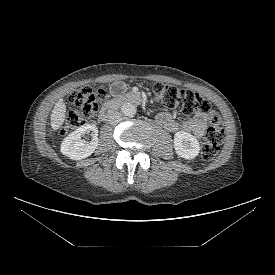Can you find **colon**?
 Instances as JSON below:
<instances>
[{"instance_id":"obj_1","label":"colon","mask_w":275,"mask_h":275,"mask_svg":"<svg viewBox=\"0 0 275 275\" xmlns=\"http://www.w3.org/2000/svg\"><path fill=\"white\" fill-rule=\"evenodd\" d=\"M157 102L170 109H176L186 115L208 113L210 104L198 93L186 89L155 83L152 87ZM106 98L102 89L83 87L71 94L73 109L67 114L60 134H67L96 117L100 106ZM224 139V127L219 115L213 114L204 140L201 144V156L204 160H212L218 154L219 146Z\"/></svg>"}]
</instances>
